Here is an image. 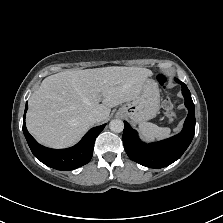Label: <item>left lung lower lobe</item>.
<instances>
[{"label": "left lung lower lobe", "instance_id": "obj_1", "mask_svg": "<svg viewBox=\"0 0 223 223\" xmlns=\"http://www.w3.org/2000/svg\"><path fill=\"white\" fill-rule=\"evenodd\" d=\"M175 81L182 86V94L188 116L185 120L183 130L169 139L146 144L140 141L138 134L127 122H124L123 144L125 151L133 161L150 167H166L179 159L190 145L195 133V107L187 86L180 80Z\"/></svg>", "mask_w": 223, "mask_h": 223}]
</instances>
